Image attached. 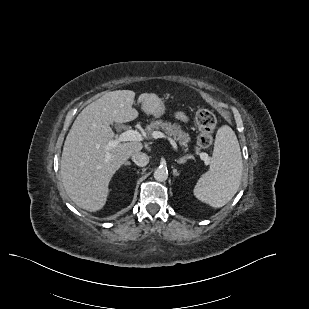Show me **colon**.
Segmentation results:
<instances>
[{
	"label": "colon",
	"instance_id": "colon-1",
	"mask_svg": "<svg viewBox=\"0 0 309 309\" xmlns=\"http://www.w3.org/2000/svg\"><path fill=\"white\" fill-rule=\"evenodd\" d=\"M195 121L199 129L197 143L200 147H209L213 140V132L217 124L215 115L207 110L200 109L195 115Z\"/></svg>",
	"mask_w": 309,
	"mask_h": 309
}]
</instances>
